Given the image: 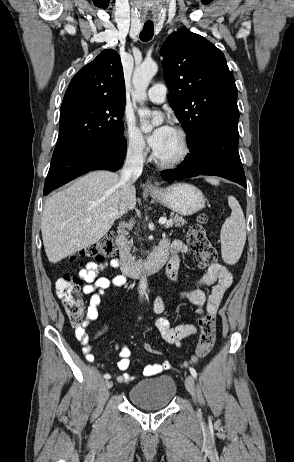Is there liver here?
Listing matches in <instances>:
<instances>
[{
	"instance_id": "6515ba94",
	"label": "liver",
	"mask_w": 294,
	"mask_h": 462,
	"mask_svg": "<svg viewBox=\"0 0 294 462\" xmlns=\"http://www.w3.org/2000/svg\"><path fill=\"white\" fill-rule=\"evenodd\" d=\"M121 178L109 171H93L44 205L41 232L48 260L57 263L98 242L119 217ZM136 206L133 186L128 210Z\"/></svg>"
}]
</instances>
